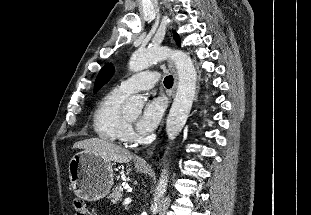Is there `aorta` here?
Returning <instances> with one entry per match:
<instances>
[{
  "mask_svg": "<svg viewBox=\"0 0 311 215\" xmlns=\"http://www.w3.org/2000/svg\"><path fill=\"white\" fill-rule=\"evenodd\" d=\"M170 58L178 72V87L166 121V133L168 139L173 141L184 127L196 92L197 73L190 56L181 50H171L167 47L152 46L147 49H138L129 60V70L142 71L152 64ZM144 105L142 96H132L126 100L123 111L127 114H138ZM168 183V171L163 169L156 188L154 202L151 210H158L160 198L166 192Z\"/></svg>",
  "mask_w": 311,
  "mask_h": 215,
  "instance_id": "obj_1",
  "label": "aorta"
}]
</instances>
